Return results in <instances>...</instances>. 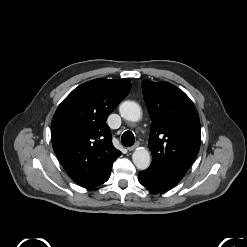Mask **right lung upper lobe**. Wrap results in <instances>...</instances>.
<instances>
[{
  "label": "right lung upper lobe",
  "mask_w": 247,
  "mask_h": 247,
  "mask_svg": "<svg viewBox=\"0 0 247 247\" xmlns=\"http://www.w3.org/2000/svg\"><path fill=\"white\" fill-rule=\"evenodd\" d=\"M130 89L129 79L91 80L74 89L54 114L53 149L68 176L84 188L106 182L121 155L106 119Z\"/></svg>",
  "instance_id": "obj_1"
}]
</instances>
